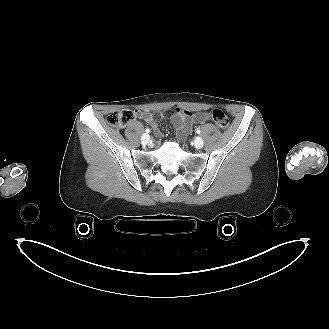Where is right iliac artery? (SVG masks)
<instances>
[{
    "label": "right iliac artery",
    "instance_id": "1",
    "mask_svg": "<svg viewBox=\"0 0 329 329\" xmlns=\"http://www.w3.org/2000/svg\"><path fill=\"white\" fill-rule=\"evenodd\" d=\"M145 131H146L147 133H149V132H150V129L146 128Z\"/></svg>",
    "mask_w": 329,
    "mask_h": 329
}]
</instances>
